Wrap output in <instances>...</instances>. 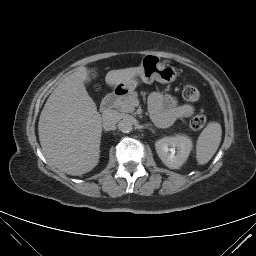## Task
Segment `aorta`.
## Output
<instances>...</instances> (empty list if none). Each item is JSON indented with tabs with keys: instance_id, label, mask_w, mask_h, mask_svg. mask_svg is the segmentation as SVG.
I'll list each match as a JSON object with an SVG mask.
<instances>
[{
	"instance_id": "aorta-1",
	"label": "aorta",
	"mask_w": 256,
	"mask_h": 256,
	"mask_svg": "<svg viewBox=\"0 0 256 256\" xmlns=\"http://www.w3.org/2000/svg\"><path fill=\"white\" fill-rule=\"evenodd\" d=\"M118 128L120 131H122L124 133H129L133 130V123L130 120H122L118 124Z\"/></svg>"
}]
</instances>
